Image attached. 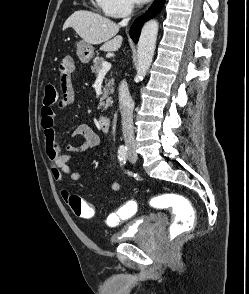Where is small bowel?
<instances>
[{
	"label": "small bowel",
	"mask_w": 249,
	"mask_h": 294,
	"mask_svg": "<svg viewBox=\"0 0 249 294\" xmlns=\"http://www.w3.org/2000/svg\"><path fill=\"white\" fill-rule=\"evenodd\" d=\"M68 58L71 59V57ZM61 89L62 97L56 106L58 108L69 107L72 105L75 96L71 81V69L67 75L61 76ZM55 118V108L44 104L40 110V127L45 137L46 155L50 162V174L53 180L58 183L63 182L65 175L69 180L77 181L80 178V172L73 170L70 167V160H72L76 154L98 148L100 146V138L87 124H79L73 128L68 136L70 138L80 137L82 142L80 144L68 143L63 147L60 143V137L55 129ZM109 188L113 192H119L121 190V185L114 181L109 184ZM60 194L64 201H69L71 196L69 190L62 189ZM120 213L121 209L108 216L107 225L109 227H116L122 220H124L120 217Z\"/></svg>",
	"instance_id": "c3829d8e"
}]
</instances>
